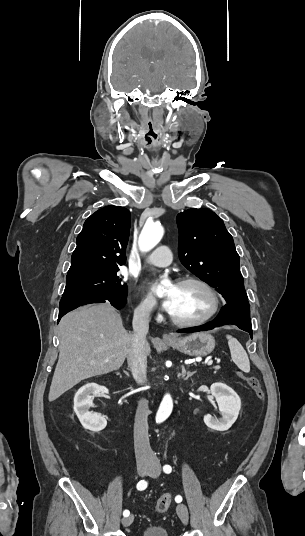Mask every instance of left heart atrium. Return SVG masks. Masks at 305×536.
Here are the masks:
<instances>
[{"instance_id":"1","label":"left heart atrium","mask_w":305,"mask_h":536,"mask_svg":"<svg viewBox=\"0 0 305 536\" xmlns=\"http://www.w3.org/2000/svg\"><path fill=\"white\" fill-rule=\"evenodd\" d=\"M147 288L152 293L154 291L155 285L152 281L147 282ZM173 299L170 295H167L164 300L162 301V305L164 309L170 310L172 307Z\"/></svg>"}]
</instances>
